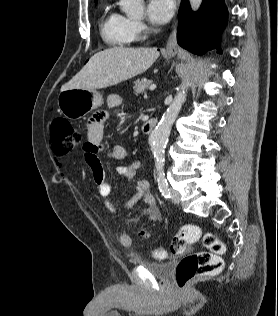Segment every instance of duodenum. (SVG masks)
Segmentation results:
<instances>
[{
    "instance_id": "obj_1",
    "label": "duodenum",
    "mask_w": 278,
    "mask_h": 316,
    "mask_svg": "<svg viewBox=\"0 0 278 316\" xmlns=\"http://www.w3.org/2000/svg\"><path fill=\"white\" fill-rule=\"evenodd\" d=\"M156 124H157V120L154 118H150L146 120L142 125V132L144 134H150L156 127Z\"/></svg>"
}]
</instances>
